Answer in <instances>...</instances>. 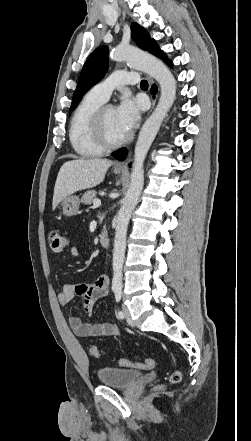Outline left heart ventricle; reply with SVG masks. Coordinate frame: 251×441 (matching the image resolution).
<instances>
[{"label":"left heart ventricle","instance_id":"1","mask_svg":"<svg viewBox=\"0 0 251 441\" xmlns=\"http://www.w3.org/2000/svg\"><path fill=\"white\" fill-rule=\"evenodd\" d=\"M104 125L107 136L110 140L116 141L124 137L127 133L121 128L117 115L116 109L113 107H108L105 111Z\"/></svg>","mask_w":251,"mask_h":441}]
</instances>
